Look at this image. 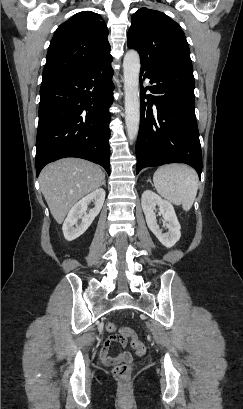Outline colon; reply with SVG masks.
Instances as JSON below:
<instances>
[{
  "label": "colon",
  "mask_w": 243,
  "mask_h": 409,
  "mask_svg": "<svg viewBox=\"0 0 243 409\" xmlns=\"http://www.w3.org/2000/svg\"><path fill=\"white\" fill-rule=\"evenodd\" d=\"M109 332H115L117 326L114 323H108L106 326ZM118 338L120 340L130 339L131 347L136 351L137 354H143L145 352L144 344L139 340L138 336L129 328H121L119 331ZM113 373L116 377L128 381L132 373V365L129 361H125L114 367Z\"/></svg>",
  "instance_id": "5ec220e1"
}]
</instances>
